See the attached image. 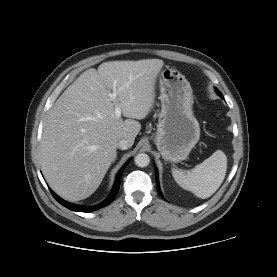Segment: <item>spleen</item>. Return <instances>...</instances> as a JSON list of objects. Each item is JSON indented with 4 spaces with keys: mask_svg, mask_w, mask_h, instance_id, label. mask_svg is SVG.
Masks as SVG:
<instances>
[{
    "mask_svg": "<svg viewBox=\"0 0 277 277\" xmlns=\"http://www.w3.org/2000/svg\"><path fill=\"white\" fill-rule=\"evenodd\" d=\"M226 171L227 157L223 151L217 150L189 173L173 168L172 176L180 187L191 191L198 198L205 199L221 186Z\"/></svg>",
    "mask_w": 277,
    "mask_h": 277,
    "instance_id": "1",
    "label": "spleen"
}]
</instances>
